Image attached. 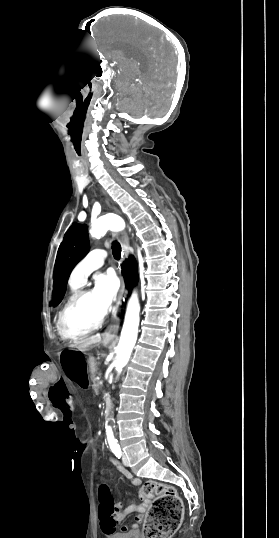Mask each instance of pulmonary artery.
I'll return each mask as SVG.
<instances>
[{
	"label": "pulmonary artery",
	"mask_w": 279,
	"mask_h": 538,
	"mask_svg": "<svg viewBox=\"0 0 279 538\" xmlns=\"http://www.w3.org/2000/svg\"><path fill=\"white\" fill-rule=\"evenodd\" d=\"M105 258L96 259L92 256L84 258L75 268L72 279L75 282L85 283L88 276L104 263Z\"/></svg>",
	"instance_id": "pulmonary-artery-1"
}]
</instances>
